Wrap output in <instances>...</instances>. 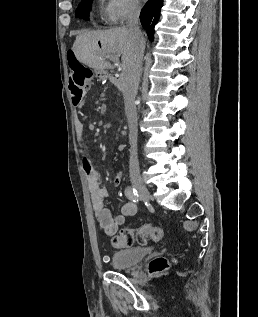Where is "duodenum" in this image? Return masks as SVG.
<instances>
[{"label":"duodenum","instance_id":"duodenum-1","mask_svg":"<svg viewBox=\"0 0 258 317\" xmlns=\"http://www.w3.org/2000/svg\"><path fill=\"white\" fill-rule=\"evenodd\" d=\"M68 88L74 105H79L87 93L85 85L75 76H70Z\"/></svg>","mask_w":258,"mask_h":317}]
</instances>
